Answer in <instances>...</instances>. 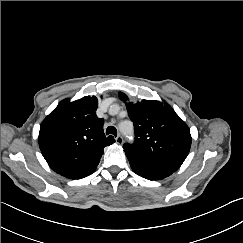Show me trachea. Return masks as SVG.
<instances>
[{
    "label": "trachea",
    "mask_w": 243,
    "mask_h": 243,
    "mask_svg": "<svg viewBox=\"0 0 243 243\" xmlns=\"http://www.w3.org/2000/svg\"><path fill=\"white\" fill-rule=\"evenodd\" d=\"M114 135V136H117V130L114 126H109L107 127L106 129V135Z\"/></svg>",
    "instance_id": "obj_1"
}]
</instances>
